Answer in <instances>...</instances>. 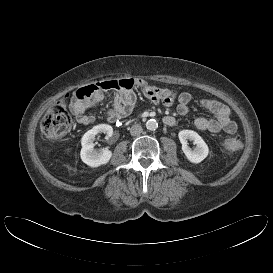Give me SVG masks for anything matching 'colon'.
<instances>
[{"label":"colon","instance_id":"5ec220e1","mask_svg":"<svg viewBox=\"0 0 273 273\" xmlns=\"http://www.w3.org/2000/svg\"><path fill=\"white\" fill-rule=\"evenodd\" d=\"M134 83L132 79H117L85 85L75 91L74 99H89L101 90L131 89L134 87ZM72 124V117L67 109L65 100H60L47 110L41 122V129L47 138L59 139L70 131ZM221 144L228 152L239 151L243 146L242 140L239 137H227Z\"/></svg>","mask_w":273,"mask_h":273}]
</instances>
